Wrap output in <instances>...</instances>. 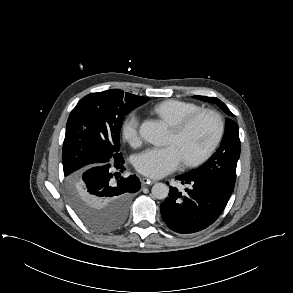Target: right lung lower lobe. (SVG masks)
Returning <instances> with one entry per match:
<instances>
[{
  "label": "right lung lower lobe",
  "instance_id": "98d812e1",
  "mask_svg": "<svg viewBox=\"0 0 293 293\" xmlns=\"http://www.w3.org/2000/svg\"><path fill=\"white\" fill-rule=\"evenodd\" d=\"M123 163L122 158L112 163L91 165L82 172L81 182L91 210L116 213L125 220L131 194L140 189V182L135 175L120 177L119 172L125 170Z\"/></svg>",
  "mask_w": 293,
  "mask_h": 293
}]
</instances>
